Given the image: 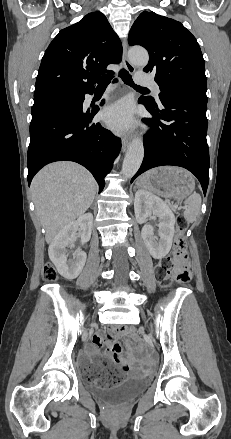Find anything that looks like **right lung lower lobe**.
Wrapping results in <instances>:
<instances>
[{
	"instance_id": "1",
	"label": "right lung lower lobe",
	"mask_w": 231,
	"mask_h": 439,
	"mask_svg": "<svg viewBox=\"0 0 231 439\" xmlns=\"http://www.w3.org/2000/svg\"><path fill=\"white\" fill-rule=\"evenodd\" d=\"M93 91L78 94V103L69 110L31 121L27 154L29 185L34 175L46 164L69 160L86 167L98 182L99 192L102 191L104 177L119 154L121 140L100 123L91 124L98 108L86 111L83 101L84 95Z\"/></svg>"
}]
</instances>
